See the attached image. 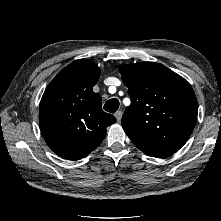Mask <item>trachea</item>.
Listing matches in <instances>:
<instances>
[{
  "mask_svg": "<svg viewBox=\"0 0 221 221\" xmlns=\"http://www.w3.org/2000/svg\"><path fill=\"white\" fill-rule=\"evenodd\" d=\"M104 110L110 113L116 112L119 108V101L116 98L108 100L104 105Z\"/></svg>",
  "mask_w": 221,
  "mask_h": 221,
  "instance_id": "trachea-1",
  "label": "trachea"
}]
</instances>
